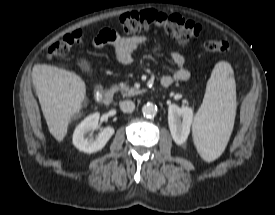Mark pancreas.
Instances as JSON below:
<instances>
[{
  "label": "pancreas",
  "mask_w": 275,
  "mask_h": 215,
  "mask_svg": "<svg viewBox=\"0 0 275 215\" xmlns=\"http://www.w3.org/2000/svg\"><path fill=\"white\" fill-rule=\"evenodd\" d=\"M115 89L119 90L123 97L134 96L143 92L136 87H129L126 83H120L118 86H115Z\"/></svg>",
  "instance_id": "pancreas-1"
}]
</instances>
